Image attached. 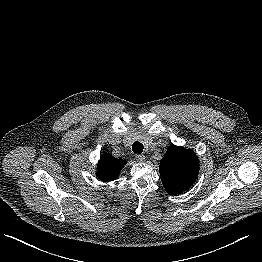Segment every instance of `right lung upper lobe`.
Returning a JSON list of instances; mask_svg holds the SVG:
<instances>
[{
    "instance_id": "1",
    "label": "right lung upper lobe",
    "mask_w": 262,
    "mask_h": 262,
    "mask_svg": "<svg viewBox=\"0 0 262 262\" xmlns=\"http://www.w3.org/2000/svg\"><path fill=\"white\" fill-rule=\"evenodd\" d=\"M125 163V160L116 159L106 153L100 157L96 175L103 182L113 181L118 178Z\"/></svg>"
}]
</instances>
